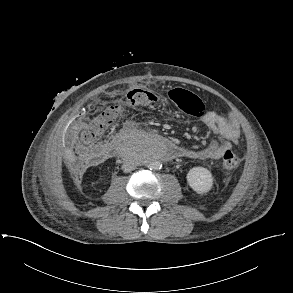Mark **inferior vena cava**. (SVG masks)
Listing matches in <instances>:
<instances>
[{"label": "inferior vena cava", "instance_id": "1", "mask_svg": "<svg viewBox=\"0 0 293 293\" xmlns=\"http://www.w3.org/2000/svg\"><path fill=\"white\" fill-rule=\"evenodd\" d=\"M135 164L134 163H131V162H124L123 165H122V170L124 172H130L132 170L135 169Z\"/></svg>", "mask_w": 293, "mask_h": 293}]
</instances>
